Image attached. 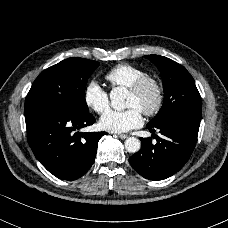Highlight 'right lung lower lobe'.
Wrapping results in <instances>:
<instances>
[{
  "mask_svg": "<svg viewBox=\"0 0 228 228\" xmlns=\"http://www.w3.org/2000/svg\"><path fill=\"white\" fill-rule=\"evenodd\" d=\"M28 143L39 162L63 180L82 177L95 160L98 141L106 132H79L95 122L92 114H81L58 104L25 107Z\"/></svg>",
  "mask_w": 228,
  "mask_h": 228,
  "instance_id": "98d812e1",
  "label": "right lung lower lobe"
}]
</instances>
